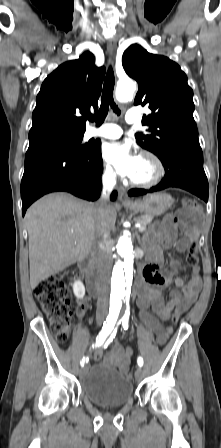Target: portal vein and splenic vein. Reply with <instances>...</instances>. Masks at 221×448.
Returning <instances> with one entry per match:
<instances>
[{
	"instance_id": "18ae733b",
	"label": "portal vein and splenic vein",
	"mask_w": 221,
	"mask_h": 448,
	"mask_svg": "<svg viewBox=\"0 0 221 448\" xmlns=\"http://www.w3.org/2000/svg\"><path fill=\"white\" fill-rule=\"evenodd\" d=\"M136 227L139 229V231H144L145 227L141 224H136Z\"/></svg>"
}]
</instances>
